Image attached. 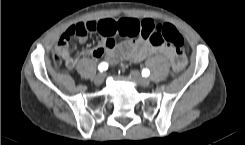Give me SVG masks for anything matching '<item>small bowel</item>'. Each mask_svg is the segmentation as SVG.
<instances>
[{
  "label": "small bowel",
  "instance_id": "1",
  "mask_svg": "<svg viewBox=\"0 0 245 145\" xmlns=\"http://www.w3.org/2000/svg\"><path fill=\"white\" fill-rule=\"evenodd\" d=\"M145 22L152 23V21L149 20L139 21L131 17L118 20L112 18L92 19L83 22L90 26L92 32L97 34V45L94 48L83 49L78 52L77 55H73L69 49V43L67 42L63 46L66 67L70 69L75 67L78 59L86 56L100 57L105 55L107 59L112 61L127 60L132 63H139L156 54H164L170 61L176 60L179 61L182 66H185V55L165 45L154 46L141 40L135 42H117L110 37L112 33H119L122 29L127 28L130 23L142 25ZM78 41L80 43L84 42L85 37L79 38Z\"/></svg>",
  "mask_w": 245,
  "mask_h": 145
}]
</instances>
